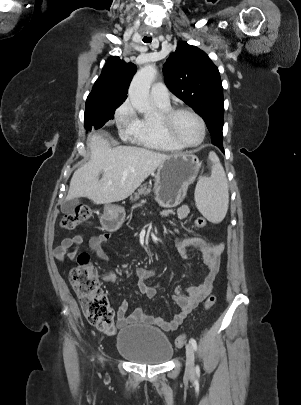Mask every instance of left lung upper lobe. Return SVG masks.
Instances as JSON below:
<instances>
[{
	"mask_svg": "<svg viewBox=\"0 0 301 405\" xmlns=\"http://www.w3.org/2000/svg\"><path fill=\"white\" fill-rule=\"evenodd\" d=\"M169 90L205 121L212 138L223 140V88L218 68L206 53L179 42L164 64Z\"/></svg>",
	"mask_w": 301,
	"mask_h": 405,
	"instance_id": "5c2ea615",
	"label": "left lung upper lobe"
}]
</instances>
